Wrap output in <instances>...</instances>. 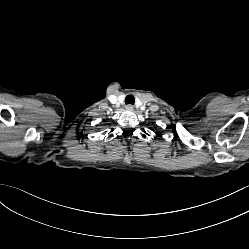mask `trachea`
<instances>
[{"mask_svg":"<svg viewBox=\"0 0 249 249\" xmlns=\"http://www.w3.org/2000/svg\"><path fill=\"white\" fill-rule=\"evenodd\" d=\"M125 103L126 104H134L135 103V98H134V96L133 95H128V96H126V98H125Z\"/></svg>","mask_w":249,"mask_h":249,"instance_id":"3493384b","label":"trachea"}]
</instances>
